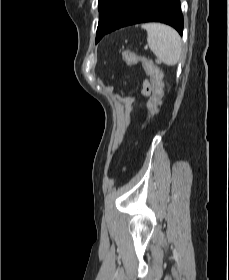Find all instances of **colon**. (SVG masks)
Returning <instances> with one entry per match:
<instances>
[{
    "instance_id": "obj_1",
    "label": "colon",
    "mask_w": 229,
    "mask_h": 280,
    "mask_svg": "<svg viewBox=\"0 0 229 280\" xmlns=\"http://www.w3.org/2000/svg\"><path fill=\"white\" fill-rule=\"evenodd\" d=\"M123 58L128 65L145 64L148 62L144 57L133 51H125ZM147 70L151 77V83L148 81L144 83V91L146 95H149V100L147 103L148 115L142 127L143 131L147 129L149 123L159 114L163 98V82L160 71L151 63H148Z\"/></svg>"
}]
</instances>
